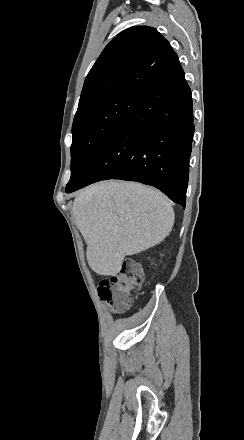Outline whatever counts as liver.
<instances>
[{"label":"liver","instance_id":"obj_1","mask_svg":"<svg viewBox=\"0 0 244 440\" xmlns=\"http://www.w3.org/2000/svg\"><path fill=\"white\" fill-rule=\"evenodd\" d=\"M73 216L99 276H116L125 256L153 248L169 236L175 216L166 196L138 182L107 180L81 190Z\"/></svg>","mask_w":244,"mask_h":440}]
</instances>
